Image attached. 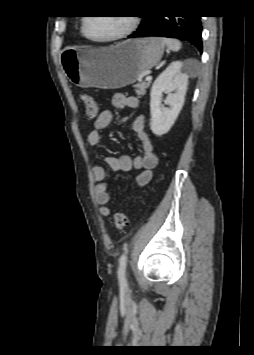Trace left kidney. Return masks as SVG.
Segmentation results:
<instances>
[{"label": "left kidney", "instance_id": "1", "mask_svg": "<svg viewBox=\"0 0 254 355\" xmlns=\"http://www.w3.org/2000/svg\"><path fill=\"white\" fill-rule=\"evenodd\" d=\"M188 75L184 72L182 61L172 62L155 80L150 93V111L152 132L161 136L166 134L176 121L185 100ZM168 94L162 109V94Z\"/></svg>", "mask_w": 254, "mask_h": 355}]
</instances>
